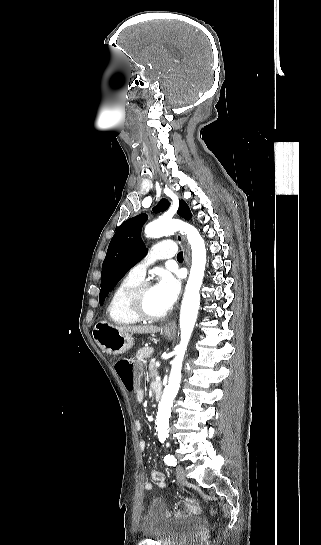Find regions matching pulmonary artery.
Segmentation results:
<instances>
[{"mask_svg":"<svg viewBox=\"0 0 321 545\" xmlns=\"http://www.w3.org/2000/svg\"><path fill=\"white\" fill-rule=\"evenodd\" d=\"M154 248L155 250L149 254L150 258H145L131 267L129 275L142 280L145 277L146 269L155 261H172L178 253L177 248L173 246L171 241H156Z\"/></svg>","mask_w":321,"mask_h":545,"instance_id":"pulmonary-artery-1","label":"pulmonary artery"}]
</instances>
